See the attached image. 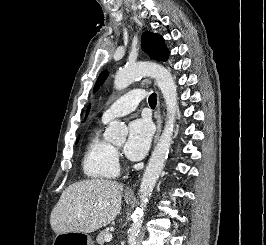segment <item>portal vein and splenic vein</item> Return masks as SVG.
Returning a JSON list of instances; mask_svg holds the SVG:
<instances>
[{
    "label": "portal vein and splenic vein",
    "mask_w": 266,
    "mask_h": 245,
    "mask_svg": "<svg viewBox=\"0 0 266 245\" xmlns=\"http://www.w3.org/2000/svg\"><path fill=\"white\" fill-rule=\"evenodd\" d=\"M112 239H113L112 235H106L104 241H105V243H110V241H112Z\"/></svg>",
    "instance_id": "1"
}]
</instances>
